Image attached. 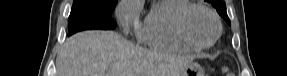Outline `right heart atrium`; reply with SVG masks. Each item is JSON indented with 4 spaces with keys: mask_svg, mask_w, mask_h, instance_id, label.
<instances>
[{
    "mask_svg": "<svg viewBox=\"0 0 287 76\" xmlns=\"http://www.w3.org/2000/svg\"><path fill=\"white\" fill-rule=\"evenodd\" d=\"M141 12L140 0H122L117 8V18L125 31L134 28L139 29V16Z\"/></svg>",
    "mask_w": 287,
    "mask_h": 76,
    "instance_id": "d8ad5b80",
    "label": "right heart atrium"
}]
</instances>
